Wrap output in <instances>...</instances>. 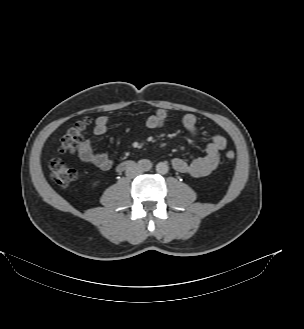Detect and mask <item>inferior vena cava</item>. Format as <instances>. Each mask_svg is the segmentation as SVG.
I'll return each mask as SVG.
<instances>
[{"label": "inferior vena cava", "mask_w": 304, "mask_h": 329, "mask_svg": "<svg viewBox=\"0 0 304 329\" xmlns=\"http://www.w3.org/2000/svg\"><path fill=\"white\" fill-rule=\"evenodd\" d=\"M144 171L143 168H141L138 165H131L126 169V176L129 178H133L137 175H140Z\"/></svg>", "instance_id": "obj_1"}]
</instances>
